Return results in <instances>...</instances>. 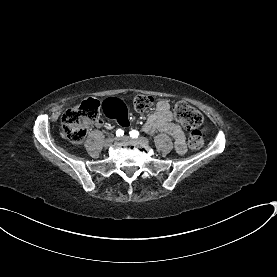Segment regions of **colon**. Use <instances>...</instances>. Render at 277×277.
<instances>
[{"label":"colon","instance_id":"5ec220e1","mask_svg":"<svg viewBox=\"0 0 277 277\" xmlns=\"http://www.w3.org/2000/svg\"><path fill=\"white\" fill-rule=\"evenodd\" d=\"M132 104L137 111H142L154 105V98L150 95L138 94L133 97ZM99 110L100 105L93 97L84 101L80 107L66 110L61 118V127L65 138L71 142L83 141L88 125L100 118ZM173 110L176 120L190 130L188 146L193 150L201 149L204 144L202 136L203 114L186 102H175Z\"/></svg>","mask_w":277,"mask_h":277}]
</instances>
